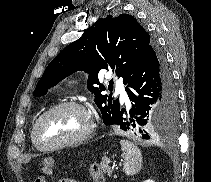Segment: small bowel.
Returning a JSON list of instances; mask_svg holds the SVG:
<instances>
[{
    "mask_svg": "<svg viewBox=\"0 0 211 182\" xmlns=\"http://www.w3.org/2000/svg\"><path fill=\"white\" fill-rule=\"evenodd\" d=\"M59 182H76V181L72 179H63V180H60Z\"/></svg>",
    "mask_w": 211,
    "mask_h": 182,
    "instance_id": "c3829d8e",
    "label": "small bowel"
}]
</instances>
